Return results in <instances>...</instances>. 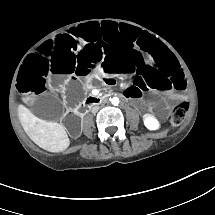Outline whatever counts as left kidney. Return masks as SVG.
Instances as JSON below:
<instances>
[{
  "mask_svg": "<svg viewBox=\"0 0 215 215\" xmlns=\"http://www.w3.org/2000/svg\"><path fill=\"white\" fill-rule=\"evenodd\" d=\"M145 125L149 129H157L158 128V122L151 116L145 117Z\"/></svg>",
  "mask_w": 215,
  "mask_h": 215,
  "instance_id": "left-kidney-1",
  "label": "left kidney"
}]
</instances>
